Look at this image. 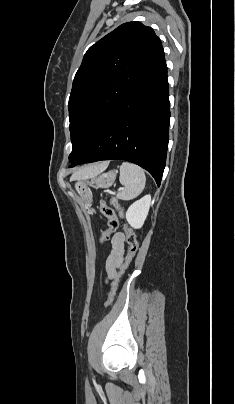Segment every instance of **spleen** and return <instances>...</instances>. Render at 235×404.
<instances>
[{"mask_svg":"<svg viewBox=\"0 0 235 404\" xmlns=\"http://www.w3.org/2000/svg\"><path fill=\"white\" fill-rule=\"evenodd\" d=\"M119 181L124 188L117 194V198L121 200H131L136 198L143 191L146 176L141 167L129 162H123L120 166Z\"/></svg>","mask_w":235,"mask_h":404,"instance_id":"spleen-1","label":"spleen"}]
</instances>
